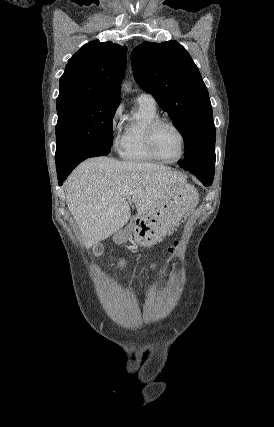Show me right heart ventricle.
Returning a JSON list of instances; mask_svg holds the SVG:
<instances>
[{"instance_id":"right-heart-ventricle-1","label":"right heart ventricle","mask_w":274,"mask_h":427,"mask_svg":"<svg viewBox=\"0 0 274 427\" xmlns=\"http://www.w3.org/2000/svg\"><path fill=\"white\" fill-rule=\"evenodd\" d=\"M159 114L156 108L138 107L137 113L128 120L117 147L119 156L131 162L158 163L159 161L149 152L146 145L148 126Z\"/></svg>"}]
</instances>
